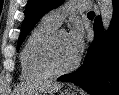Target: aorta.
Returning a JSON list of instances; mask_svg holds the SVG:
<instances>
[{
  "label": "aorta",
  "instance_id": "aorta-1",
  "mask_svg": "<svg viewBox=\"0 0 119 95\" xmlns=\"http://www.w3.org/2000/svg\"><path fill=\"white\" fill-rule=\"evenodd\" d=\"M97 4L100 9L103 29L107 31L113 17V2L112 0H97Z\"/></svg>",
  "mask_w": 119,
  "mask_h": 95
}]
</instances>
